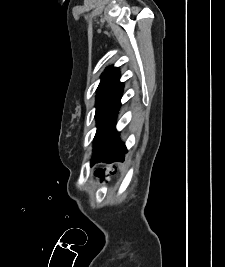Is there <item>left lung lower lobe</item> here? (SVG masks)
Listing matches in <instances>:
<instances>
[{"label":"left lung lower lobe","instance_id":"obj_1","mask_svg":"<svg viewBox=\"0 0 225 267\" xmlns=\"http://www.w3.org/2000/svg\"><path fill=\"white\" fill-rule=\"evenodd\" d=\"M125 153H127V149L119 140V133L115 129V124H113L108 138L92 165L100 162L112 163L115 161H123Z\"/></svg>","mask_w":225,"mask_h":267}]
</instances>
